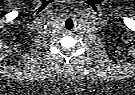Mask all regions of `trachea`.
<instances>
[{
    "label": "trachea",
    "mask_w": 135,
    "mask_h": 95,
    "mask_svg": "<svg viewBox=\"0 0 135 95\" xmlns=\"http://www.w3.org/2000/svg\"><path fill=\"white\" fill-rule=\"evenodd\" d=\"M65 25H66V28H67L68 30H71V29L73 28V21H72V19H71V18H68V19L66 20Z\"/></svg>",
    "instance_id": "trachea-1"
}]
</instances>
